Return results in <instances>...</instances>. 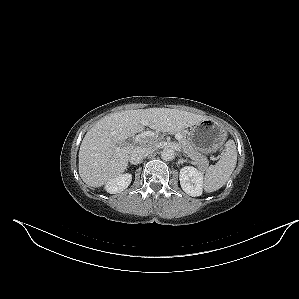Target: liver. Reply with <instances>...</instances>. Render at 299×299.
I'll return each mask as SVG.
<instances>
[{"mask_svg":"<svg viewBox=\"0 0 299 299\" xmlns=\"http://www.w3.org/2000/svg\"><path fill=\"white\" fill-rule=\"evenodd\" d=\"M206 118L168 108L126 110L107 115L82 140L79 175L88 186L101 187L125 171L133 147H121L120 144L141 132L144 126L162 132H176L197 125Z\"/></svg>","mask_w":299,"mask_h":299,"instance_id":"6515ba94","label":"liver"}]
</instances>
